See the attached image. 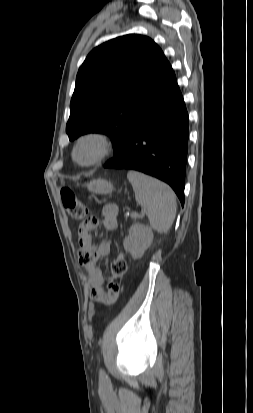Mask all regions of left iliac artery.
<instances>
[{
  "label": "left iliac artery",
  "mask_w": 253,
  "mask_h": 413,
  "mask_svg": "<svg viewBox=\"0 0 253 413\" xmlns=\"http://www.w3.org/2000/svg\"><path fill=\"white\" fill-rule=\"evenodd\" d=\"M100 377H101L102 379H106V378H107L104 370H102V369L100 370Z\"/></svg>",
  "instance_id": "1"
}]
</instances>
